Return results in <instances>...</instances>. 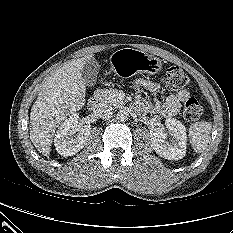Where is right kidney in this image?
I'll return each mask as SVG.
<instances>
[{
	"label": "right kidney",
	"instance_id": "1",
	"mask_svg": "<svg viewBox=\"0 0 233 233\" xmlns=\"http://www.w3.org/2000/svg\"><path fill=\"white\" fill-rule=\"evenodd\" d=\"M78 120L79 114H72L61 123L56 132L54 145L57 152L64 157L75 155L87 143L91 126H79Z\"/></svg>",
	"mask_w": 233,
	"mask_h": 233
}]
</instances>
